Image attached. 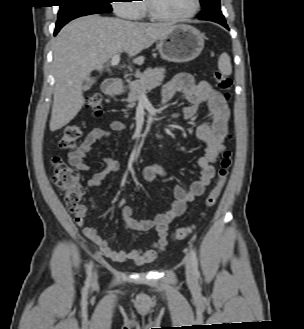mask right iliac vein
I'll list each match as a JSON object with an SVG mask.
<instances>
[{"mask_svg":"<svg viewBox=\"0 0 304 329\" xmlns=\"http://www.w3.org/2000/svg\"><path fill=\"white\" fill-rule=\"evenodd\" d=\"M96 280H97V273H95L93 276V281H96Z\"/></svg>","mask_w":304,"mask_h":329,"instance_id":"1","label":"right iliac vein"}]
</instances>
